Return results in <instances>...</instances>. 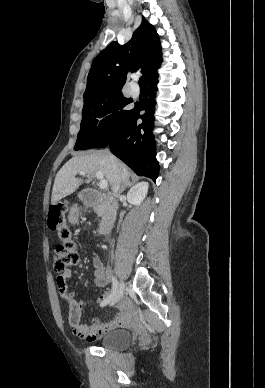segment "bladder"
<instances>
[{"instance_id":"obj_1","label":"bladder","mask_w":265,"mask_h":388,"mask_svg":"<svg viewBox=\"0 0 265 388\" xmlns=\"http://www.w3.org/2000/svg\"><path fill=\"white\" fill-rule=\"evenodd\" d=\"M132 336L128 330H114L101 338V347L108 348H124L131 345Z\"/></svg>"}]
</instances>
